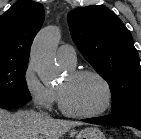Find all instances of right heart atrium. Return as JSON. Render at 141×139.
Returning <instances> with one entry per match:
<instances>
[{"instance_id":"right-heart-atrium-1","label":"right heart atrium","mask_w":141,"mask_h":139,"mask_svg":"<svg viewBox=\"0 0 141 139\" xmlns=\"http://www.w3.org/2000/svg\"><path fill=\"white\" fill-rule=\"evenodd\" d=\"M22 80L27 94L36 107L40 109L53 107L57 100V93L41 82L31 62L26 64Z\"/></svg>"}]
</instances>
